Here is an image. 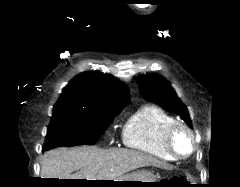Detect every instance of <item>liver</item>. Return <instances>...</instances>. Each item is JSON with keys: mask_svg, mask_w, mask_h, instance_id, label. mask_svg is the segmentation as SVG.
<instances>
[{"mask_svg": "<svg viewBox=\"0 0 240 187\" xmlns=\"http://www.w3.org/2000/svg\"><path fill=\"white\" fill-rule=\"evenodd\" d=\"M145 166L164 167L156 158L128 149L62 147L43 154L41 178L116 180Z\"/></svg>", "mask_w": 240, "mask_h": 187, "instance_id": "obj_1", "label": "liver"}]
</instances>
